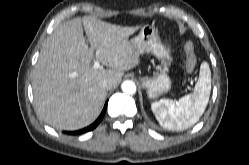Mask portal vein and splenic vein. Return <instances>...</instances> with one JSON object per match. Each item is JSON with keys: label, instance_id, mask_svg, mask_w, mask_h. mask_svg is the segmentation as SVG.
Returning a JSON list of instances; mask_svg holds the SVG:
<instances>
[{"label": "portal vein and splenic vein", "instance_id": "1", "mask_svg": "<svg viewBox=\"0 0 249 165\" xmlns=\"http://www.w3.org/2000/svg\"><path fill=\"white\" fill-rule=\"evenodd\" d=\"M93 68H94V69H99V68H100V62L96 60V61L94 62Z\"/></svg>", "mask_w": 249, "mask_h": 165}]
</instances>
